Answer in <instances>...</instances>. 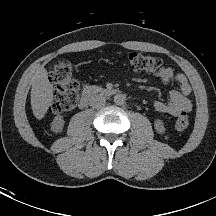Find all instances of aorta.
<instances>
[{"mask_svg":"<svg viewBox=\"0 0 216 216\" xmlns=\"http://www.w3.org/2000/svg\"><path fill=\"white\" fill-rule=\"evenodd\" d=\"M126 101V96L124 94H116L114 96V102L117 105H123Z\"/></svg>","mask_w":216,"mask_h":216,"instance_id":"obj_1","label":"aorta"}]
</instances>
